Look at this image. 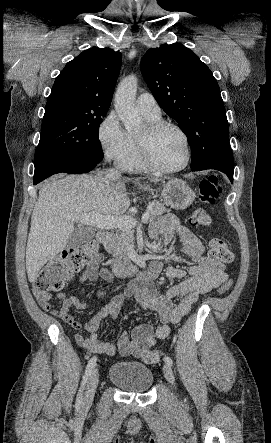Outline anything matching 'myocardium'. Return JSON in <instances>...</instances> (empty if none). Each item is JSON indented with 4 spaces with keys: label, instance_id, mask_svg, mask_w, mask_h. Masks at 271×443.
<instances>
[{
    "label": "myocardium",
    "instance_id": "myocardium-1",
    "mask_svg": "<svg viewBox=\"0 0 271 443\" xmlns=\"http://www.w3.org/2000/svg\"><path fill=\"white\" fill-rule=\"evenodd\" d=\"M164 128H173V129L177 130L185 142L186 159L179 166L164 167V166H161L154 158L153 149H152L153 140H154L155 136ZM138 141H139V147H140L142 160H143L144 164L146 165V167L153 170V171L160 172V173H175V172H179V171L185 169L191 162L192 145H191L190 138H189L188 134L186 133V131L181 126H179L178 124H176L174 122L162 120V119L149 122L146 125V127L144 128V130L140 133Z\"/></svg>",
    "mask_w": 271,
    "mask_h": 443
}]
</instances>
